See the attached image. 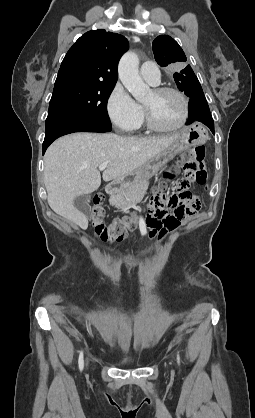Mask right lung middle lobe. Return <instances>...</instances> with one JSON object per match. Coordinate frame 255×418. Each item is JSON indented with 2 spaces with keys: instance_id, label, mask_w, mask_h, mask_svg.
<instances>
[{
  "instance_id": "right-lung-middle-lobe-1",
  "label": "right lung middle lobe",
  "mask_w": 255,
  "mask_h": 418,
  "mask_svg": "<svg viewBox=\"0 0 255 418\" xmlns=\"http://www.w3.org/2000/svg\"><path fill=\"white\" fill-rule=\"evenodd\" d=\"M115 84L64 82L54 86L48 115L69 113L111 126L107 101Z\"/></svg>"
}]
</instances>
